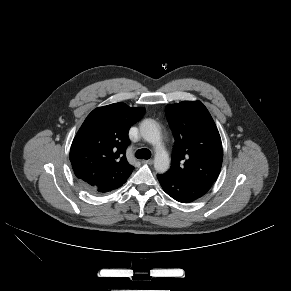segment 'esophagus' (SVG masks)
Here are the masks:
<instances>
[{
	"label": "esophagus",
	"mask_w": 291,
	"mask_h": 291,
	"mask_svg": "<svg viewBox=\"0 0 291 291\" xmlns=\"http://www.w3.org/2000/svg\"><path fill=\"white\" fill-rule=\"evenodd\" d=\"M142 163L151 165V164H153V160L152 159L142 160Z\"/></svg>",
	"instance_id": "obj_1"
}]
</instances>
